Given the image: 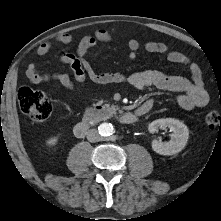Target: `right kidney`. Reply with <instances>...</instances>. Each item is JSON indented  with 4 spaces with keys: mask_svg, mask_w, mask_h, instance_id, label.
I'll return each instance as SVG.
<instances>
[{
    "mask_svg": "<svg viewBox=\"0 0 221 221\" xmlns=\"http://www.w3.org/2000/svg\"><path fill=\"white\" fill-rule=\"evenodd\" d=\"M57 141H58V139L56 137H52V138H49L46 143L49 146H53L57 143Z\"/></svg>",
    "mask_w": 221,
    "mask_h": 221,
    "instance_id": "ca27d5eb",
    "label": "right kidney"
}]
</instances>
